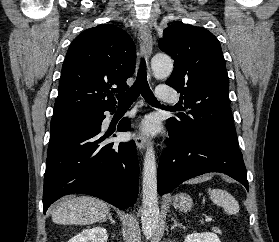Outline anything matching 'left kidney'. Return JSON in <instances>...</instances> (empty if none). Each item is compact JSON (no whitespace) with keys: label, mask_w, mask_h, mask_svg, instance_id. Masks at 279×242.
Listing matches in <instances>:
<instances>
[{"label":"left kidney","mask_w":279,"mask_h":242,"mask_svg":"<svg viewBox=\"0 0 279 242\" xmlns=\"http://www.w3.org/2000/svg\"><path fill=\"white\" fill-rule=\"evenodd\" d=\"M184 242H221L215 233H192L185 237Z\"/></svg>","instance_id":"5707ae66"}]
</instances>
